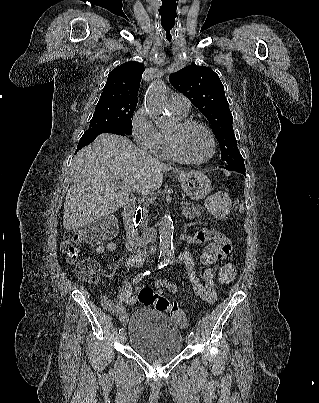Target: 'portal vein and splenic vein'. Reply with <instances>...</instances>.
<instances>
[{
    "label": "portal vein and splenic vein",
    "instance_id": "obj_1",
    "mask_svg": "<svg viewBox=\"0 0 319 403\" xmlns=\"http://www.w3.org/2000/svg\"><path fill=\"white\" fill-rule=\"evenodd\" d=\"M125 188H126L128 191H133V192H137V191H138L137 187H135V186H134V187L125 186ZM181 205H182V206L188 205V202L182 201V202H181Z\"/></svg>",
    "mask_w": 319,
    "mask_h": 403
}]
</instances>
